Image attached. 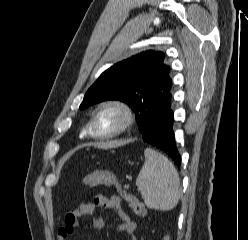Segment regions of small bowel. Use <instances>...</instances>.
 <instances>
[{"instance_id": "c3829d8e", "label": "small bowel", "mask_w": 248, "mask_h": 240, "mask_svg": "<svg viewBox=\"0 0 248 240\" xmlns=\"http://www.w3.org/2000/svg\"><path fill=\"white\" fill-rule=\"evenodd\" d=\"M97 208L113 209L120 219L117 230L129 235L131 240H137L134 235L136 223L125 212L121 200L116 196L105 197L103 195H98L93 203H81L74 210L68 212L63 225L58 230V240H69L74 235L80 218L84 216H93L94 227L102 228V220L95 216Z\"/></svg>"}]
</instances>
